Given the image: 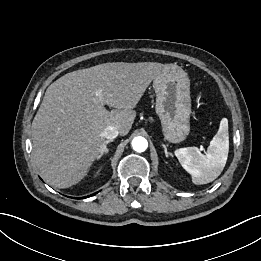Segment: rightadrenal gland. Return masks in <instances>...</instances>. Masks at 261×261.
Segmentation results:
<instances>
[{"mask_svg":"<svg viewBox=\"0 0 261 261\" xmlns=\"http://www.w3.org/2000/svg\"><path fill=\"white\" fill-rule=\"evenodd\" d=\"M113 140H107L105 142V145H104V148H103V151L101 152V154L99 155L98 159H100L102 156L104 155H107L108 154V148H107V144H109L110 142H112Z\"/></svg>","mask_w":261,"mask_h":261,"instance_id":"obj_1","label":"right adrenal gland"}]
</instances>
